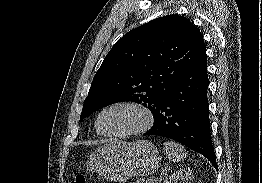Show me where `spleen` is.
I'll use <instances>...</instances> for the list:
<instances>
[{
  "label": "spleen",
  "instance_id": "obj_1",
  "mask_svg": "<svg viewBox=\"0 0 262 183\" xmlns=\"http://www.w3.org/2000/svg\"><path fill=\"white\" fill-rule=\"evenodd\" d=\"M163 147L167 158L172 162H179L187 157L185 148L176 142H164Z\"/></svg>",
  "mask_w": 262,
  "mask_h": 183
}]
</instances>
